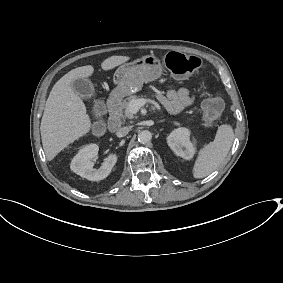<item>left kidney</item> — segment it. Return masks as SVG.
<instances>
[{"label":"left kidney","instance_id":"5707ae66","mask_svg":"<svg viewBox=\"0 0 283 283\" xmlns=\"http://www.w3.org/2000/svg\"><path fill=\"white\" fill-rule=\"evenodd\" d=\"M169 147L177 156L186 160L193 158L196 148L190 141V130L184 127L174 129L167 137Z\"/></svg>","mask_w":283,"mask_h":283}]
</instances>
